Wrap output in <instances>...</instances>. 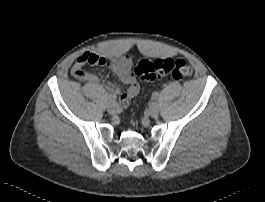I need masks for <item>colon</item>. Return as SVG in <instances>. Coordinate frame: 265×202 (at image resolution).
Here are the masks:
<instances>
[{"label": "colon", "mask_w": 265, "mask_h": 202, "mask_svg": "<svg viewBox=\"0 0 265 202\" xmlns=\"http://www.w3.org/2000/svg\"><path fill=\"white\" fill-rule=\"evenodd\" d=\"M77 77L84 74L83 69L74 72ZM193 70L183 59L141 58L133 65V74L145 83H153L159 78L180 81L192 75Z\"/></svg>", "instance_id": "colon-1"}]
</instances>
